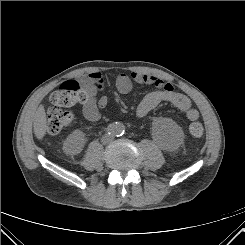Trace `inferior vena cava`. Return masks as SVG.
<instances>
[{
    "mask_svg": "<svg viewBox=\"0 0 245 245\" xmlns=\"http://www.w3.org/2000/svg\"><path fill=\"white\" fill-rule=\"evenodd\" d=\"M113 139H114L113 135L106 134L102 137V142L104 144H107V143L111 142Z\"/></svg>",
    "mask_w": 245,
    "mask_h": 245,
    "instance_id": "obj_1",
    "label": "inferior vena cava"
}]
</instances>
